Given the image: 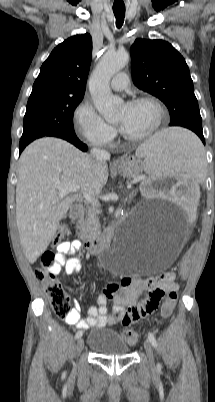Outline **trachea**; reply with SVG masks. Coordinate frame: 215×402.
<instances>
[{
    "label": "trachea",
    "mask_w": 215,
    "mask_h": 402,
    "mask_svg": "<svg viewBox=\"0 0 215 402\" xmlns=\"http://www.w3.org/2000/svg\"><path fill=\"white\" fill-rule=\"evenodd\" d=\"M113 12L116 18V26L117 28H121L124 22L125 9H113Z\"/></svg>",
    "instance_id": "1"
}]
</instances>
